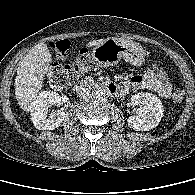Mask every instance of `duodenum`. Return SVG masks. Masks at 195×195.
I'll return each mask as SVG.
<instances>
[{"label":"duodenum","mask_w":195,"mask_h":195,"mask_svg":"<svg viewBox=\"0 0 195 195\" xmlns=\"http://www.w3.org/2000/svg\"><path fill=\"white\" fill-rule=\"evenodd\" d=\"M94 86V83L89 80V79H83L79 81L75 86L74 90L76 92H82L85 91L86 89H89ZM102 87L109 93H116L117 92V87L114 83H105L102 85Z\"/></svg>","instance_id":"duodenum-1"}]
</instances>
